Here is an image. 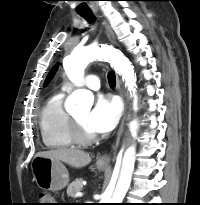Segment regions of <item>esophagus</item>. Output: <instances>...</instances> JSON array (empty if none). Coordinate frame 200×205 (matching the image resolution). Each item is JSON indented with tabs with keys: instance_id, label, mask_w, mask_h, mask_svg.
I'll use <instances>...</instances> for the list:
<instances>
[{
	"instance_id": "obj_1",
	"label": "esophagus",
	"mask_w": 200,
	"mask_h": 205,
	"mask_svg": "<svg viewBox=\"0 0 200 205\" xmlns=\"http://www.w3.org/2000/svg\"><path fill=\"white\" fill-rule=\"evenodd\" d=\"M105 29H106V34H107L108 39L110 40V42L115 44L116 41H115L114 33H113L112 29L110 28V26L108 24H105ZM116 84H117L118 92H119V94L122 98L123 105H124L123 116H122V119H121L120 126L118 128V131L116 133V136L114 138V142L112 144V151H111L110 154H104V155H101V156L98 157V163H100V164H109L110 163L112 156L115 155L116 152H117V148H118V145H119V142H120V138H121V135H122L123 130H124V125H125V120H126L127 104H126V100H125L124 91L121 87V81H120L118 75H116Z\"/></svg>"
}]
</instances>
